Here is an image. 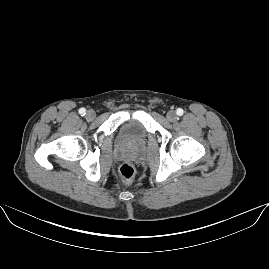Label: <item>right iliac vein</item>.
Listing matches in <instances>:
<instances>
[{
  "label": "right iliac vein",
  "mask_w": 269,
  "mask_h": 269,
  "mask_svg": "<svg viewBox=\"0 0 269 269\" xmlns=\"http://www.w3.org/2000/svg\"><path fill=\"white\" fill-rule=\"evenodd\" d=\"M95 117H96V113H95V111H93V110H88V111L86 112L85 118H86L87 120H93Z\"/></svg>",
  "instance_id": "obj_1"
}]
</instances>
